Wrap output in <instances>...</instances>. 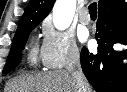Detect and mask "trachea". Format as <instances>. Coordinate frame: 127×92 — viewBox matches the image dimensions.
I'll return each instance as SVG.
<instances>
[{
  "label": "trachea",
  "instance_id": "trachea-1",
  "mask_svg": "<svg viewBox=\"0 0 127 92\" xmlns=\"http://www.w3.org/2000/svg\"><path fill=\"white\" fill-rule=\"evenodd\" d=\"M89 13L90 16H97V4L95 2L89 5Z\"/></svg>",
  "mask_w": 127,
  "mask_h": 92
}]
</instances>
